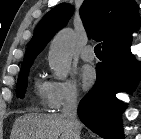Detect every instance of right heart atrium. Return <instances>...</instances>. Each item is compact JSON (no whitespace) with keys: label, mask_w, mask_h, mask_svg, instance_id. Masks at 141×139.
<instances>
[{"label":"right heart atrium","mask_w":141,"mask_h":139,"mask_svg":"<svg viewBox=\"0 0 141 139\" xmlns=\"http://www.w3.org/2000/svg\"><path fill=\"white\" fill-rule=\"evenodd\" d=\"M79 99V91L71 80H51L46 83L45 105L50 111H59L74 105Z\"/></svg>","instance_id":"obj_1"}]
</instances>
